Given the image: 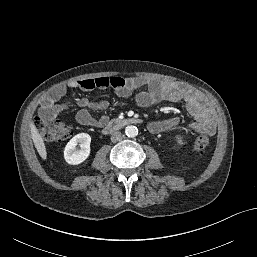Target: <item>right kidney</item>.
I'll use <instances>...</instances> for the list:
<instances>
[{
  "label": "right kidney",
  "instance_id": "right-kidney-1",
  "mask_svg": "<svg viewBox=\"0 0 257 257\" xmlns=\"http://www.w3.org/2000/svg\"><path fill=\"white\" fill-rule=\"evenodd\" d=\"M91 137L87 133L75 135L66 145L64 149V159L68 164L78 165L84 162L90 155ZM80 145V149L76 146Z\"/></svg>",
  "mask_w": 257,
  "mask_h": 257
}]
</instances>
